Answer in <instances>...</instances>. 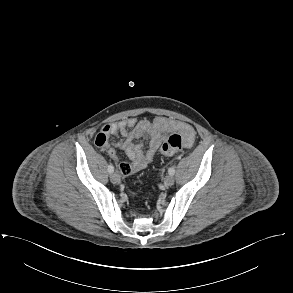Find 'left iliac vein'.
<instances>
[{
  "instance_id": "obj_1",
  "label": "left iliac vein",
  "mask_w": 293,
  "mask_h": 293,
  "mask_svg": "<svg viewBox=\"0 0 293 293\" xmlns=\"http://www.w3.org/2000/svg\"><path fill=\"white\" fill-rule=\"evenodd\" d=\"M164 184L166 186H172L174 184V177L172 175H167L164 178Z\"/></svg>"
}]
</instances>
